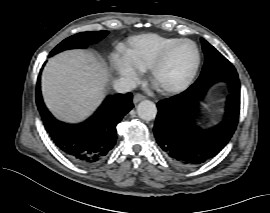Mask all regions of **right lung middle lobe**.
I'll use <instances>...</instances> for the list:
<instances>
[{
	"mask_svg": "<svg viewBox=\"0 0 270 213\" xmlns=\"http://www.w3.org/2000/svg\"><path fill=\"white\" fill-rule=\"evenodd\" d=\"M107 34V31H90L75 34L66 38L60 44H58L51 51L50 56L67 49L86 48L87 46L100 41Z\"/></svg>",
	"mask_w": 270,
	"mask_h": 213,
	"instance_id": "obj_1",
	"label": "right lung middle lobe"
}]
</instances>
